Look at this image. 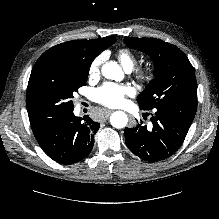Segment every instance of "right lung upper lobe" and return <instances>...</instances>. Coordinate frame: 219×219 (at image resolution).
Listing matches in <instances>:
<instances>
[{"label": "right lung upper lobe", "instance_id": "cb5924a9", "mask_svg": "<svg viewBox=\"0 0 219 219\" xmlns=\"http://www.w3.org/2000/svg\"><path fill=\"white\" fill-rule=\"evenodd\" d=\"M115 42L116 39L110 36L96 40H73L55 45L42 55H58L83 67H90L92 61Z\"/></svg>", "mask_w": 219, "mask_h": 219}]
</instances>
